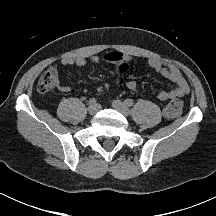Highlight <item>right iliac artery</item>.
<instances>
[{
  "label": "right iliac artery",
  "mask_w": 216,
  "mask_h": 216,
  "mask_svg": "<svg viewBox=\"0 0 216 216\" xmlns=\"http://www.w3.org/2000/svg\"><path fill=\"white\" fill-rule=\"evenodd\" d=\"M89 103L92 104V105H93V104H96V99H95V98H91V99L89 100Z\"/></svg>",
  "instance_id": "obj_1"
}]
</instances>
